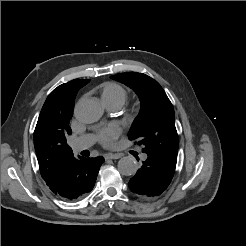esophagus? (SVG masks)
Listing matches in <instances>:
<instances>
[{
  "label": "esophagus",
  "instance_id": "1",
  "mask_svg": "<svg viewBox=\"0 0 246 246\" xmlns=\"http://www.w3.org/2000/svg\"><path fill=\"white\" fill-rule=\"evenodd\" d=\"M121 156L122 155L121 154H118V153H115V154H113V153H107V154L104 155V158L106 160H108V159H119Z\"/></svg>",
  "mask_w": 246,
  "mask_h": 246
}]
</instances>
